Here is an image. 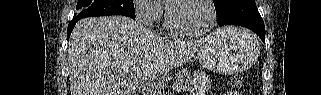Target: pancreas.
Wrapping results in <instances>:
<instances>
[{"label":"pancreas","instance_id":"obj_1","mask_svg":"<svg viewBox=\"0 0 321 95\" xmlns=\"http://www.w3.org/2000/svg\"><path fill=\"white\" fill-rule=\"evenodd\" d=\"M176 79H177V86L180 89H183V90H191V89H193L192 78H191V75L189 74V72L187 70L179 71L176 74Z\"/></svg>","mask_w":321,"mask_h":95}]
</instances>
